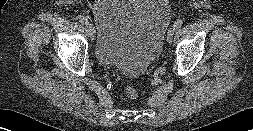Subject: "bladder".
<instances>
[{
	"label": "bladder",
	"instance_id": "bladder-1",
	"mask_svg": "<svg viewBox=\"0 0 253 131\" xmlns=\"http://www.w3.org/2000/svg\"><path fill=\"white\" fill-rule=\"evenodd\" d=\"M93 18L98 61L138 76L162 50L170 7L166 0H98Z\"/></svg>",
	"mask_w": 253,
	"mask_h": 131
}]
</instances>
